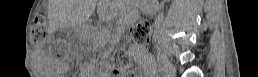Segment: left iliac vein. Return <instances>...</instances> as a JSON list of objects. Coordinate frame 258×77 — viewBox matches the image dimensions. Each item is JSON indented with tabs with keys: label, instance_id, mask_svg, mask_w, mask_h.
<instances>
[{
	"label": "left iliac vein",
	"instance_id": "1",
	"mask_svg": "<svg viewBox=\"0 0 258 77\" xmlns=\"http://www.w3.org/2000/svg\"><path fill=\"white\" fill-rule=\"evenodd\" d=\"M163 72L166 76L172 77L176 74V67L169 61H164Z\"/></svg>",
	"mask_w": 258,
	"mask_h": 77
}]
</instances>
